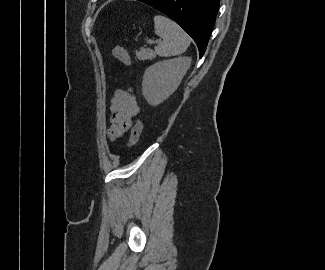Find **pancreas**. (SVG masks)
Returning a JSON list of instances; mask_svg holds the SVG:
<instances>
[{
    "instance_id": "1",
    "label": "pancreas",
    "mask_w": 325,
    "mask_h": 270,
    "mask_svg": "<svg viewBox=\"0 0 325 270\" xmlns=\"http://www.w3.org/2000/svg\"><path fill=\"white\" fill-rule=\"evenodd\" d=\"M136 57L138 60H152L156 57L153 50L148 48H141L140 51L136 52Z\"/></svg>"
}]
</instances>
